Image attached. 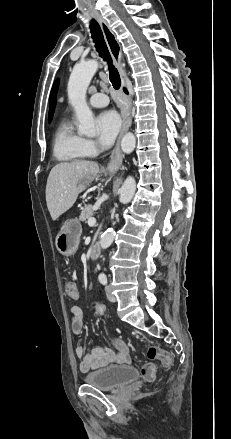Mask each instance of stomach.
Instances as JSON below:
<instances>
[{
  "mask_svg": "<svg viewBox=\"0 0 231 439\" xmlns=\"http://www.w3.org/2000/svg\"><path fill=\"white\" fill-rule=\"evenodd\" d=\"M82 228L78 220H67L61 226L56 237V248L63 256H72L77 252Z\"/></svg>",
  "mask_w": 231,
  "mask_h": 439,
  "instance_id": "0dacf381",
  "label": "stomach"
}]
</instances>
